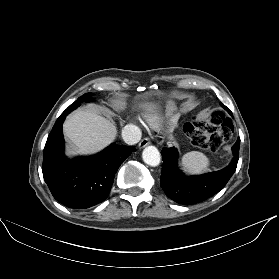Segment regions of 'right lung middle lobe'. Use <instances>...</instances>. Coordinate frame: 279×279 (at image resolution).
<instances>
[{"mask_svg":"<svg viewBox=\"0 0 279 279\" xmlns=\"http://www.w3.org/2000/svg\"><path fill=\"white\" fill-rule=\"evenodd\" d=\"M92 93H86L83 96H81L80 98H78L77 101H75L73 104H71L65 111L67 113H70L71 111H73L75 108H77L82 102H89L92 101Z\"/></svg>","mask_w":279,"mask_h":279,"instance_id":"right-lung-middle-lobe-1","label":"right lung middle lobe"}]
</instances>
